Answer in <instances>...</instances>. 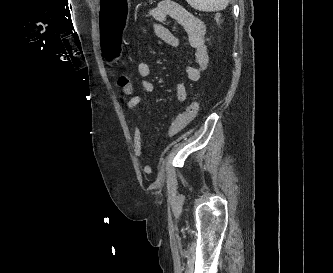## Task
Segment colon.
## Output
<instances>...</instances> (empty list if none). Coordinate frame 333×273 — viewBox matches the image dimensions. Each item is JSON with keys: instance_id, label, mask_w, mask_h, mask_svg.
<instances>
[{"instance_id": "obj_1", "label": "colon", "mask_w": 333, "mask_h": 273, "mask_svg": "<svg viewBox=\"0 0 333 273\" xmlns=\"http://www.w3.org/2000/svg\"><path fill=\"white\" fill-rule=\"evenodd\" d=\"M217 22H219V16H215ZM118 86L121 95L124 99L130 98L133 94L132 81L127 76H120L118 79ZM201 106V101L196 100L188 105V107L176 117H174L168 126V135L174 136L182 131L196 116Z\"/></svg>"}]
</instances>
